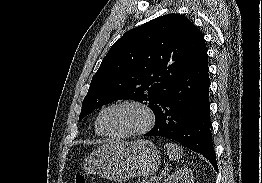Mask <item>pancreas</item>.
Instances as JSON below:
<instances>
[{
    "mask_svg": "<svg viewBox=\"0 0 262 183\" xmlns=\"http://www.w3.org/2000/svg\"><path fill=\"white\" fill-rule=\"evenodd\" d=\"M140 183H154L153 181H151V180H143L142 182H140Z\"/></svg>",
    "mask_w": 262,
    "mask_h": 183,
    "instance_id": "cf45deb5",
    "label": "pancreas"
}]
</instances>
